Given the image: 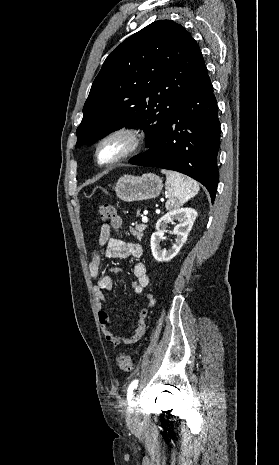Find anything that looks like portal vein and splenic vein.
<instances>
[{
	"label": "portal vein and splenic vein",
	"instance_id": "obj_1",
	"mask_svg": "<svg viewBox=\"0 0 279 465\" xmlns=\"http://www.w3.org/2000/svg\"><path fill=\"white\" fill-rule=\"evenodd\" d=\"M142 222H143V223H147V222H148V217H147V216H143V217H142Z\"/></svg>",
	"mask_w": 279,
	"mask_h": 465
}]
</instances>
